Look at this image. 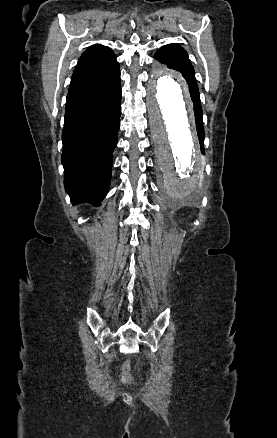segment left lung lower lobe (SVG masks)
<instances>
[{
  "label": "left lung lower lobe",
  "mask_w": 277,
  "mask_h": 438,
  "mask_svg": "<svg viewBox=\"0 0 277 438\" xmlns=\"http://www.w3.org/2000/svg\"><path fill=\"white\" fill-rule=\"evenodd\" d=\"M196 128L198 132V138L200 141L201 151L203 153V141H204V129H203V121H202V113L195 114Z\"/></svg>",
  "instance_id": "obj_1"
}]
</instances>
